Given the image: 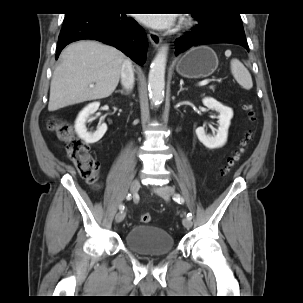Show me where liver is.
<instances>
[{"mask_svg":"<svg viewBox=\"0 0 303 303\" xmlns=\"http://www.w3.org/2000/svg\"><path fill=\"white\" fill-rule=\"evenodd\" d=\"M125 60L121 51L95 41L68 45L52 76L48 110L110 96L118 85Z\"/></svg>","mask_w":303,"mask_h":303,"instance_id":"obj_1","label":"liver"}]
</instances>
